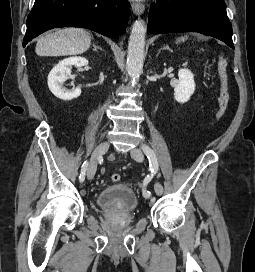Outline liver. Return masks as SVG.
I'll use <instances>...</instances> for the list:
<instances>
[{
	"mask_svg": "<svg viewBox=\"0 0 255 272\" xmlns=\"http://www.w3.org/2000/svg\"><path fill=\"white\" fill-rule=\"evenodd\" d=\"M91 35L80 28H66L40 37L36 44L39 56H65L84 53L90 48Z\"/></svg>",
	"mask_w": 255,
	"mask_h": 272,
	"instance_id": "obj_1",
	"label": "liver"
}]
</instances>
